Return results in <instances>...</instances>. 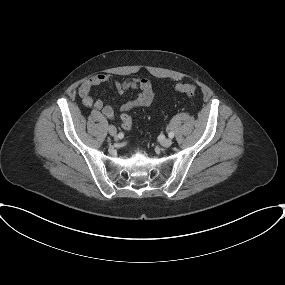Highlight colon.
I'll list each match as a JSON object with an SVG mask.
<instances>
[{
    "mask_svg": "<svg viewBox=\"0 0 285 285\" xmlns=\"http://www.w3.org/2000/svg\"><path fill=\"white\" fill-rule=\"evenodd\" d=\"M176 90L182 94L187 96H194L196 92V88L194 85L189 83H179L176 85ZM122 126L124 129H131L132 127V117L128 114H123L121 116Z\"/></svg>",
    "mask_w": 285,
    "mask_h": 285,
    "instance_id": "1",
    "label": "colon"
}]
</instances>
